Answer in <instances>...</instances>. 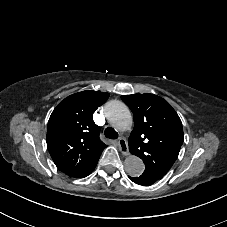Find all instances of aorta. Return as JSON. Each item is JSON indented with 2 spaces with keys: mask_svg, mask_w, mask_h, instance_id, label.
Segmentation results:
<instances>
[{
  "mask_svg": "<svg viewBox=\"0 0 227 227\" xmlns=\"http://www.w3.org/2000/svg\"><path fill=\"white\" fill-rule=\"evenodd\" d=\"M105 113L110 124L117 130L125 131L131 128L133 120L129 108L122 102L113 100L106 104ZM125 171L130 176H140L145 169L144 162L135 155L125 159Z\"/></svg>",
  "mask_w": 227,
  "mask_h": 227,
  "instance_id": "762f6f07",
  "label": "aorta"
}]
</instances>
